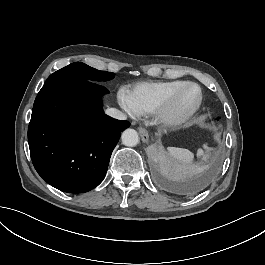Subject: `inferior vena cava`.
<instances>
[{
	"label": "inferior vena cava",
	"instance_id": "1",
	"mask_svg": "<svg viewBox=\"0 0 265 265\" xmlns=\"http://www.w3.org/2000/svg\"><path fill=\"white\" fill-rule=\"evenodd\" d=\"M107 115L116 118L118 120H126L127 117L116 108H109L106 110Z\"/></svg>",
	"mask_w": 265,
	"mask_h": 265
}]
</instances>
